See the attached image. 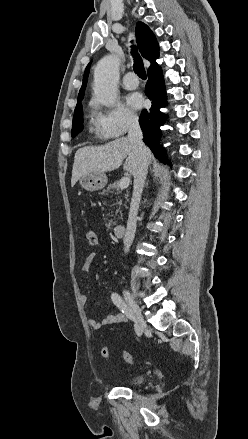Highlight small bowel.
Instances as JSON below:
<instances>
[{
	"label": "small bowel",
	"mask_w": 248,
	"mask_h": 439,
	"mask_svg": "<svg viewBox=\"0 0 248 439\" xmlns=\"http://www.w3.org/2000/svg\"><path fill=\"white\" fill-rule=\"evenodd\" d=\"M97 257V253L96 252H92L90 253L84 263H83V267H82V271L84 273H88L93 265V262L95 261ZM81 300L83 302L87 301V296L86 295H82L81 296ZM127 320L126 315L122 314V313H114V314H110L108 316H106L105 318H103L101 321H98L96 319H91L89 321L90 326L94 329V330H99L101 327L103 326H107V325H114V324H119V323H123Z\"/></svg>",
	"instance_id": "1"
}]
</instances>
